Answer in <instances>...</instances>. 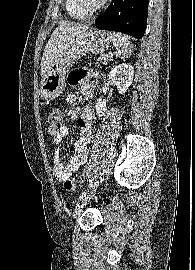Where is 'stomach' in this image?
Here are the masks:
<instances>
[{
    "mask_svg": "<svg viewBox=\"0 0 195 270\" xmlns=\"http://www.w3.org/2000/svg\"><path fill=\"white\" fill-rule=\"evenodd\" d=\"M111 41L108 32L94 28L87 29L79 35L72 37L66 43L58 59L48 69L41 82L40 93L42 98L46 100L57 98L66 85L65 76L68 68L86 53L105 51Z\"/></svg>",
    "mask_w": 195,
    "mask_h": 270,
    "instance_id": "0dacf381",
    "label": "stomach"
}]
</instances>
